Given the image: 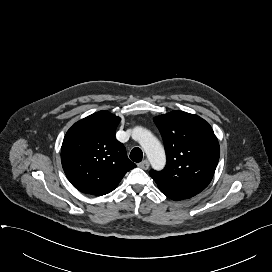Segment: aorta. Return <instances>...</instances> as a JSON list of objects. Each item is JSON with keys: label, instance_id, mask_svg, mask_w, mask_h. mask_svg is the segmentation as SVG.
Returning a JSON list of instances; mask_svg holds the SVG:
<instances>
[{"label": "aorta", "instance_id": "1", "mask_svg": "<svg viewBox=\"0 0 272 272\" xmlns=\"http://www.w3.org/2000/svg\"><path fill=\"white\" fill-rule=\"evenodd\" d=\"M132 136L144 149L152 167L157 170L163 169L166 155L160 141L150 131L142 127H135Z\"/></svg>", "mask_w": 272, "mask_h": 272}]
</instances>
